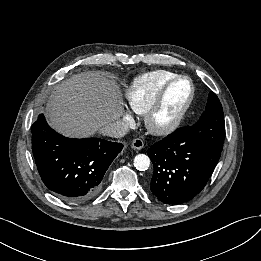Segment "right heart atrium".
I'll return each instance as SVG.
<instances>
[{"label":"right heart atrium","instance_id":"d8ad5b80","mask_svg":"<svg viewBox=\"0 0 261 261\" xmlns=\"http://www.w3.org/2000/svg\"><path fill=\"white\" fill-rule=\"evenodd\" d=\"M133 121L134 116L132 112L129 109H125L121 118V125L126 128L130 126L133 123Z\"/></svg>","mask_w":261,"mask_h":261}]
</instances>
